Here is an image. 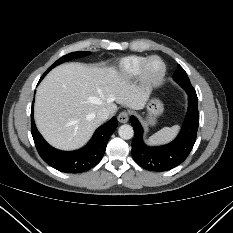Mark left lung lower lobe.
<instances>
[{"label":"left lung lower lobe","instance_id":"left-lung-lower-lobe-1","mask_svg":"<svg viewBox=\"0 0 233 233\" xmlns=\"http://www.w3.org/2000/svg\"><path fill=\"white\" fill-rule=\"evenodd\" d=\"M188 94V112L177 138L171 143L159 147L147 146L142 138L143 129L139 121L132 116L134 129L132 157L142 168L149 171L170 170L181 164L191 152L199 125L198 98L193 87L185 89Z\"/></svg>","mask_w":233,"mask_h":233}]
</instances>
